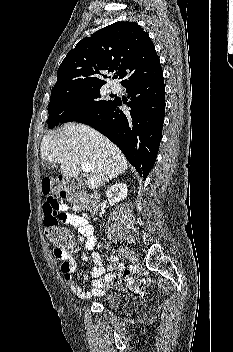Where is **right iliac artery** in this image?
<instances>
[{
    "instance_id": "82829eb1",
    "label": "right iliac artery",
    "mask_w": 233,
    "mask_h": 352,
    "mask_svg": "<svg viewBox=\"0 0 233 352\" xmlns=\"http://www.w3.org/2000/svg\"><path fill=\"white\" fill-rule=\"evenodd\" d=\"M108 260L110 261V262H117V261H119V258L117 257V256H115V255H110L109 257H108Z\"/></svg>"
}]
</instances>
